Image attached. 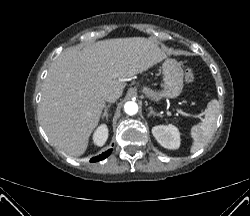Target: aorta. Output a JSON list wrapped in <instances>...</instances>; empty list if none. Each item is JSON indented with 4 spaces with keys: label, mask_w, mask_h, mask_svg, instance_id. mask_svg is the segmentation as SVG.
<instances>
[{
    "label": "aorta",
    "mask_w": 250,
    "mask_h": 216,
    "mask_svg": "<svg viewBox=\"0 0 250 216\" xmlns=\"http://www.w3.org/2000/svg\"><path fill=\"white\" fill-rule=\"evenodd\" d=\"M124 111L126 114L132 116L138 112V105L135 102L129 101L124 105Z\"/></svg>",
    "instance_id": "762f6f07"
}]
</instances>
